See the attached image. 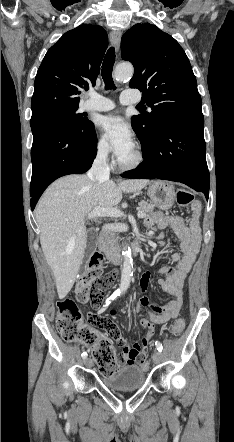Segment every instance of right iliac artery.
Returning a JSON list of instances; mask_svg holds the SVG:
<instances>
[{"label":"right iliac artery","mask_w":234,"mask_h":442,"mask_svg":"<svg viewBox=\"0 0 234 442\" xmlns=\"http://www.w3.org/2000/svg\"><path fill=\"white\" fill-rule=\"evenodd\" d=\"M118 296H119V293H118V292H114V293H113V294H112V295L106 300L104 306L109 305L110 302L113 301V300H115ZM81 356H82L83 359H86V357H87V353H86V352H83Z\"/></svg>","instance_id":"1"}]
</instances>
